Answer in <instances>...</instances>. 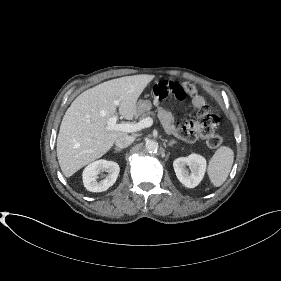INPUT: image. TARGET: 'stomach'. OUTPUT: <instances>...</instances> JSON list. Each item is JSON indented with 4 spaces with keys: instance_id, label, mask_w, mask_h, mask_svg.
I'll list each match as a JSON object with an SVG mask.
<instances>
[{
    "instance_id": "stomach-1",
    "label": "stomach",
    "mask_w": 281,
    "mask_h": 281,
    "mask_svg": "<svg viewBox=\"0 0 281 281\" xmlns=\"http://www.w3.org/2000/svg\"><path fill=\"white\" fill-rule=\"evenodd\" d=\"M151 108H152V103L150 100H139L137 102L138 115H142L143 113L150 111Z\"/></svg>"
}]
</instances>
